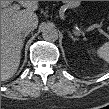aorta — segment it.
<instances>
[{"instance_id": "aorta-1", "label": "aorta", "mask_w": 109, "mask_h": 109, "mask_svg": "<svg viewBox=\"0 0 109 109\" xmlns=\"http://www.w3.org/2000/svg\"><path fill=\"white\" fill-rule=\"evenodd\" d=\"M42 36L44 40L54 42L58 39V31L52 24H47L42 29Z\"/></svg>"}]
</instances>
